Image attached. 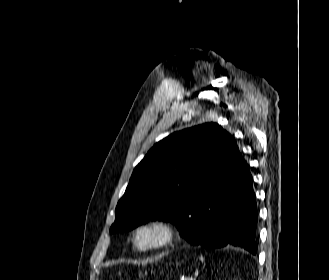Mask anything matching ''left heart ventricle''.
<instances>
[{
  "instance_id": "b2bd125f",
  "label": "left heart ventricle",
  "mask_w": 329,
  "mask_h": 280,
  "mask_svg": "<svg viewBox=\"0 0 329 280\" xmlns=\"http://www.w3.org/2000/svg\"><path fill=\"white\" fill-rule=\"evenodd\" d=\"M158 237L157 232L147 230V231H142L138 237H137V242L140 245H147L152 242H154Z\"/></svg>"
}]
</instances>
